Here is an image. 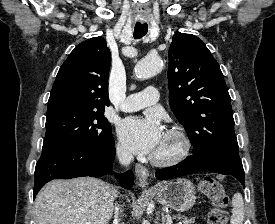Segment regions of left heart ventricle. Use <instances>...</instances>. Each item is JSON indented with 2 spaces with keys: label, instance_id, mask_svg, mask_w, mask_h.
Listing matches in <instances>:
<instances>
[{
  "label": "left heart ventricle",
  "instance_id": "left-heart-ventricle-1",
  "mask_svg": "<svg viewBox=\"0 0 275 224\" xmlns=\"http://www.w3.org/2000/svg\"><path fill=\"white\" fill-rule=\"evenodd\" d=\"M171 148V142H169L165 137L162 144L154 154H163Z\"/></svg>",
  "mask_w": 275,
  "mask_h": 224
}]
</instances>
